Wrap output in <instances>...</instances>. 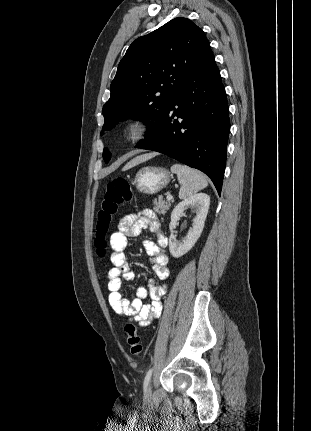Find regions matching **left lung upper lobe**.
<instances>
[{"label":"left lung upper lobe","mask_w":311,"mask_h":431,"mask_svg":"<svg viewBox=\"0 0 311 431\" xmlns=\"http://www.w3.org/2000/svg\"><path fill=\"white\" fill-rule=\"evenodd\" d=\"M209 42L203 31L186 18H175L136 39L118 65L111 96L103 106V130L132 117L147 123L148 141L160 126L181 85L198 66ZM107 163L111 155L105 148Z\"/></svg>","instance_id":"left-lung-upper-lobe-1"}]
</instances>
